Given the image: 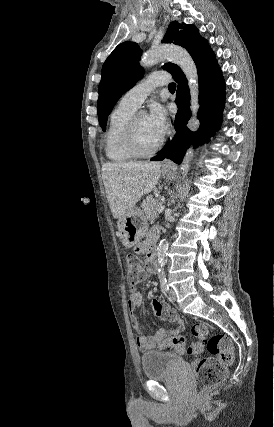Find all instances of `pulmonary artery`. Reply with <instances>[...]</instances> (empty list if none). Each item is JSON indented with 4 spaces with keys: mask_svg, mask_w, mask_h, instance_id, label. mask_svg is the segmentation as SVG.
<instances>
[{
    "mask_svg": "<svg viewBox=\"0 0 274 427\" xmlns=\"http://www.w3.org/2000/svg\"><path fill=\"white\" fill-rule=\"evenodd\" d=\"M167 82L168 79L166 77L159 78L158 73H151L145 79L137 83L132 89L126 92L119 104L124 107L137 110L140 108L141 104L144 102L147 96L152 93L156 87L164 85Z\"/></svg>",
    "mask_w": 274,
    "mask_h": 427,
    "instance_id": "pulmonary-artery-1",
    "label": "pulmonary artery"
}]
</instances>
